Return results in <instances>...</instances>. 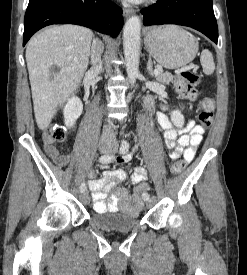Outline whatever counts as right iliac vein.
I'll use <instances>...</instances> for the list:
<instances>
[{
    "mask_svg": "<svg viewBox=\"0 0 247 275\" xmlns=\"http://www.w3.org/2000/svg\"><path fill=\"white\" fill-rule=\"evenodd\" d=\"M101 153L103 154H108L110 153L111 149L109 146H107L106 144L102 143L99 147ZM80 198H81V201L84 203V204H88L89 201H90V197L88 195V193L86 191L82 192L81 195H80Z\"/></svg>",
    "mask_w": 247,
    "mask_h": 275,
    "instance_id": "63e3f726",
    "label": "right iliac vein"
}]
</instances>
